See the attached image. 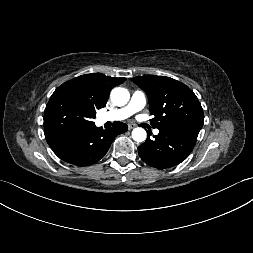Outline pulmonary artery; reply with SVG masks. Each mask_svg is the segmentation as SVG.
Masks as SVG:
<instances>
[{"label": "pulmonary artery", "instance_id": "e3ab8cb5", "mask_svg": "<svg viewBox=\"0 0 253 253\" xmlns=\"http://www.w3.org/2000/svg\"><path fill=\"white\" fill-rule=\"evenodd\" d=\"M146 105V96L144 92L136 90L132 93L130 101L122 108L116 109L111 112H105L99 115L98 121L105 123L109 121H121L129 118L136 112L140 111ZM154 134H158L159 130L155 129Z\"/></svg>", "mask_w": 253, "mask_h": 253}]
</instances>
